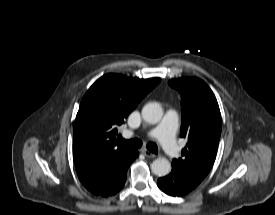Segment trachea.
<instances>
[{"mask_svg":"<svg viewBox=\"0 0 275 215\" xmlns=\"http://www.w3.org/2000/svg\"><path fill=\"white\" fill-rule=\"evenodd\" d=\"M122 143L126 144L127 146L131 147V148H140L142 146V142L140 139L134 138V139H130V140H125L123 138H121ZM147 149L154 153L157 154L158 153V147L155 143L153 142H149L147 144Z\"/></svg>","mask_w":275,"mask_h":215,"instance_id":"3493384b","label":"trachea"}]
</instances>
